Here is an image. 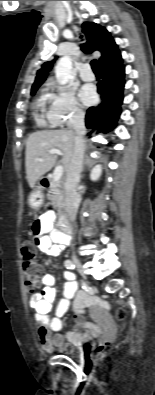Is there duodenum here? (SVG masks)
<instances>
[{"mask_svg":"<svg viewBox=\"0 0 155 395\" xmlns=\"http://www.w3.org/2000/svg\"><path fill=\"white\" fill-rule=\"evenodd\" d=\"M59 228L64 233L70 230V226H69V223H68L66 218L63 217V218L60 219V221H59Z\"/></svg>","mask_w":155,"mask_h":395,"instance_id":"duodenum-1","label":"duodenum"}]
</instances>
